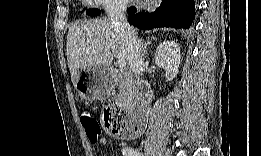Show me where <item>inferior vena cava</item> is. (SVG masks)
<instances>
[{"mask_svg":"<svg viewBox=\"0 0 261 156\" xmlns=\"http://www.w3.org/2000/svg\"><path fill=\"white\" fill-rule=\"evenodd\" d=\"M128 2L125 0H112L106 7L108 18L112 25L124 37L126 43L127 61L132 72L139 78L143 66L141 46L133 28L130 27L125 17Z\"/></svg>","mask_w":261,"mask_h":156,"instance_id":"602c4592","label":"inferior vena cava"}]
</instances>
